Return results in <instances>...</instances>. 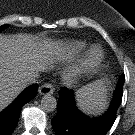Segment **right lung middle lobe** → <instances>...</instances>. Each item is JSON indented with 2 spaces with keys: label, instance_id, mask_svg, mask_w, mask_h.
Masks as SVG:
<instances>
[{
  "label": "right lung middle lobe",
  "instance_id": "obj_1",
  "mask_svg": "<svg viewBox=\"0 0 135 135\" xmlns=\"http://www.w3.org/2000/svg\"><path fill=\"white\" fill-rule=\"evenodd\" d=\"M5 27H6V25L0 26V31Z\"/></svg>",
  "mask_w": 135,
  "mask_h": 135
}]
</instances>
